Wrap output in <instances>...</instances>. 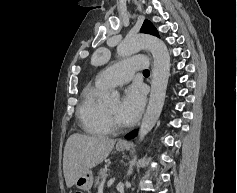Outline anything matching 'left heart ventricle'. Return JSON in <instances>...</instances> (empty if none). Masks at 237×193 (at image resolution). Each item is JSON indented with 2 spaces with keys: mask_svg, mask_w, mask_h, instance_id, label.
Returning <instances> with one entry per match:
<instances>
[{
  "mask_svg": "<svg viewBox=\"0 0 237 193\" xmlns=\"http://www.w3.org/2000/svg\"><path fill=\"white\" fill-rule=\"evenodd\" d=\"M120 105L121 104L119 102H113V103L107 104L106 107L108 111L111 113V115L113 116V118L116 120V122H118L119 124H124L119 116Z\"/></svg>",
  "mask_w": 237,
  "mask_h": 193,
  "instance_id": "obj_1",
  "label": "left heart ventricle"
}]
</instances>
